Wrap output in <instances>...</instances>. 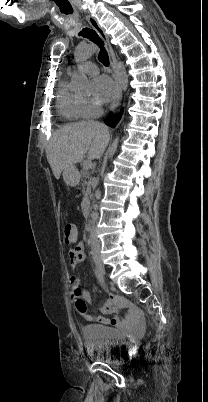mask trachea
<instances>
[{
	"label": "trachea",
	"mask_w": 208,
	"mask_h": 402,
	"mask_svg": "<svg viewBox=\"0 0 208 402\" xmlns=\"http://www.w3.org/2000/svg\"><path fill=\"white\" fill-rule=\"evenodd\" d=\"M79 35L82 37L88 38L93 43L97 44V46L100 49L98 59L101 63H103V65L108 66L109 65V57H108L107 51L104 47V42H103V40H101V38L98 36V34L92 29L84 28L83 30H81V32H79Z\"/></svg>",
	"instance_id": "1"
}]
</instances>
